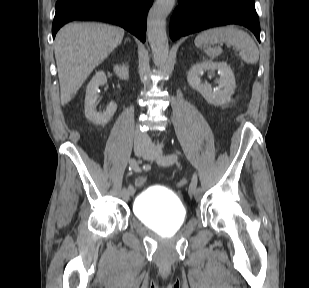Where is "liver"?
I'll list each match as a JSON object with an SVG mask.
<instances>
[{
    "label": "liver",
    "instance_id": "6515ba94",
    "mask_svg": "<svg viewBox=\"0 0 309 288\" xmlns=\"http://www.w3.org/2000/svg\"><path fill=\"white\" fill-rule=\"evenodd\" d=\"M123 37V29L101 23H69L58 32L54 52L62 105L72 100Z\"/></svg>",
    "mask_w": 309,
    "mask_h": 288
}]
</instances>
